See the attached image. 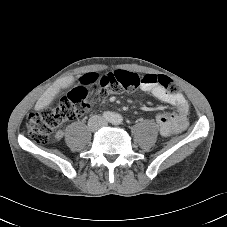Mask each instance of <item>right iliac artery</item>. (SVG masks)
Here are the masks:
<instances>
[{"mask_svg":"<svg viewBox=\"0 0 227 227\" xmlns=\"http://www.w3.org/2000/svg\"><path fill=\"white\" fill-rule=\"evenodd\" d=\"M103 117L108 121H112L114 118V114L112 112H104Z\"/></svg>","mask_w":227,"mask_h":227,"instance_id":"obj_1","label":"right iliac artery"}]
</instances>
